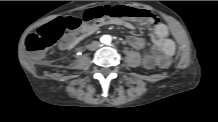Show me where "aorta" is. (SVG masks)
Here are the masks:
<instances>
[{
    "mask_svg": "<svg viewBox=\"0 0 218 122\" xmlns=\"http://www.w3.org/2000/svg\"><path fill=\"white\" fill-rule=\"evenodd\" d=\"M111 40H112V38H111L110 35H104V36H102V37L100 38V41H101L103 44H106V45L110 44V43H111Z\"/></svg>",
    "mask_w": 218,
    "mask_h": 122,
    "instance_id": "1",
    "label": "aorta"
}]
</instances>
